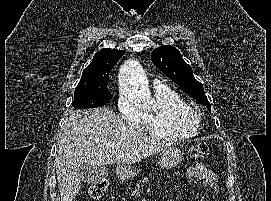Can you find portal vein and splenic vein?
<instances>
[{"mask_svg": "<svg viewBox=\"0 0 271 201\" xmlns=\"http://www.w3.org/2000/svg\"><path fill=\"white\" fill-rule=\"evenodd\" d=\"M114 147L120 148V147H121V144H120V143H119V144H116V145H114Z\"/></svg>", "mask_w": 271, "mask_h": 201, "instance_id": "portal-vein-and-splenic-vein-1", "label": "portal vein and splenic vein"}]
</instances>
